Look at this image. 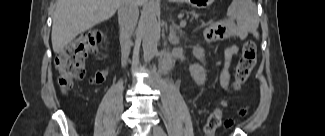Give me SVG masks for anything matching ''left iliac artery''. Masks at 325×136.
<instances>
[{
  "mask_svg": "<svg viewBox=\"0 0 325 136\" xmlns=\"http://www.w3.org/2000/svg\"><path fill=\"white\" fill-rule=\"evenodd\" d=\"M159 135L160 136H166V133L163 131L162 128L159 129Z\"/></svg>",
  "mask_w": 325,
  "mask_h": 136,
  "instance_id": "1",
  "label": "left iliac artery"
}]
</instances>
